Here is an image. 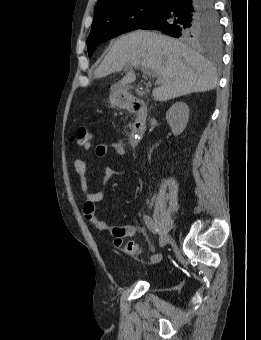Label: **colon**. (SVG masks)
<instances>
[{
    "label": "colon",
    "instance_id": "obj_1",
    "mask_svg": "<svg viewBox=\"0 0 261 340\" xmlns=\"http://www.w3.org/2000/svg\"><path fill=\"white\" fill-rule=\"evenodd\" d=\"M91 137L93 136L82 125L78 126L73 133V140L79 146H82ZM114 246L128 255H138L140 253L138 245L133 241L123 242L121 238L115 237Z\"/></svg>",
    "mask_w": 261,
    "mask_h": 340
}]
</instances>
